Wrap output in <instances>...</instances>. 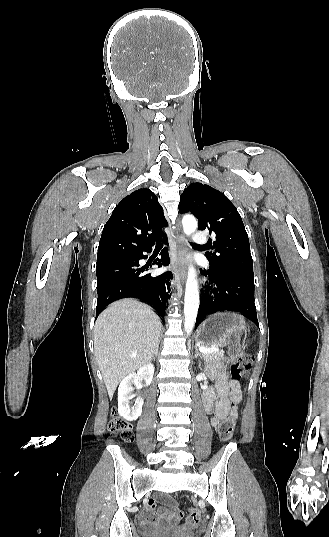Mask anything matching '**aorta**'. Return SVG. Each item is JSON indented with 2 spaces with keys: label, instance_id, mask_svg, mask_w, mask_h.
Masks as SVG:
<instances>
[{
  "label": "aorta",
  "instance_id": "762f6f07",
  "mask_svg": "<svg viewBox=\"0 0 329 537\" xmlns=\"http://www.w3.org/2000/svg\"><path fill=\"white\" fill-rule=\"evenodd\" d=\"M184 232L190 235L197 229V221L193 216H184L182 219ZM199 308V289L196 272L193 267L188 270L184 298V330L187 334L192 332Z\"/></svg>",
  "mask_w": 329,
  "mask_h": 537
}]
</instances>
